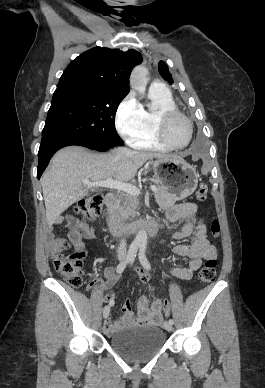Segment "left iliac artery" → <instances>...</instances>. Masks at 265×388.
<instances>
[{
  "instance_id": "obj_1",
  "label": "left iliac artery",
  "mask_w": 265,
  "mask_h": 388,
  "mask_svg": "<svg viewBox=\"0 0 265 388\" xmlns=\"http://www.w3.org/2000/svg\"><path fill=\"white\" fill-rule=\"evenodd\" d=\"M145 249H146V246L144 244L140 245L139 261L142 264V266L148 270L150 269V263L145 255ZM169 323L173 325L174 323L173 319H169Z\"/></svg>"
}]
</instances>
